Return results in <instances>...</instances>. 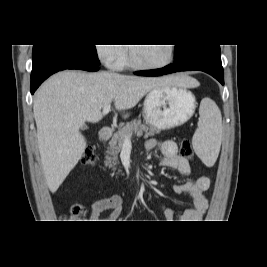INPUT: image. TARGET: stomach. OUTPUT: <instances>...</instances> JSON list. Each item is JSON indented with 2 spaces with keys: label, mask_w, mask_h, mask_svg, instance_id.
<instances>
[{
  "label": "stomach",
  "mask_w": 267,
  "mask_h": 267,
  "mask_svg": "<svg viewBox=\"0 0 267 267\" xmlns=\"http://www.w3.org/2000/svg\"><path fill=\"white\" fill-rule=\"evenodd\" d=\"M196 108L195 96L185 87L165 86L151 90L144 100V119L159 130L188 121Z\"/></svg>",
  "instance_id": "obj_1"
}]
</instances>
